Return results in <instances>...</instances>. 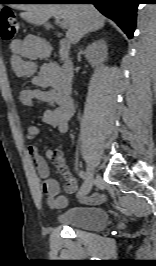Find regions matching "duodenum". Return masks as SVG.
<instances>
[{
    "label": "duodenum",
    "instance_id": "obj_1",
    "mask_svg": "<svg viewBox=\"0 0 156 266\" xmlns=\"http://www.w3.org/2000/svg\"><path fill=\"white\" fill-rule=\"evenodd\" d=\"M41 50L48 54L50 47L46 44L42 45ZM70 42L66 38H60L59 52L63 56L64 61L59 69V78L64 87L70 89L73 79V64L69 59Z\"/></svg>",
    "mask_w": 156,
    "mask_h": 266
}]
</instances>
